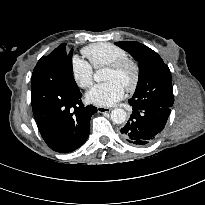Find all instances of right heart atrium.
Returning <instances> with one entry per match:
<instances>
[{
  "label": "right heart atrium",
  "mask_w": 205,
  "mask_h": 205,
  "mask_svg": "<svg viewBox=\"0 0 205 205\" xmlns=\"http://www.w3.org/2000/svg\"><path fill=\"white\" fill-rule=\"evenodd\" d=\"M70 73L74 83L82 89H87L93 84L92 66L77 55L71 59Z\"/></svg>",
  "instance_id": "obj_1"
}]
</instances>
